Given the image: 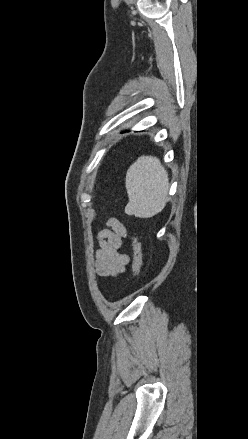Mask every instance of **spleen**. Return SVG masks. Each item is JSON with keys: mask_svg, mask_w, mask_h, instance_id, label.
Segmentation results:
<instances>
[{"mask_svg": "<svg viewBox=\"0 0 248 439\" xmlns=\"http://www.w3.org/2000/svg\"><path fill=\"white\" fill-rule=\"evenodd\" d=\"M126 189L129 198L126 211L137 217H153L166 205L168 173L157 157L141 156L127 171Z\"/></svg>", "mask_w": 248, "mask_h": 439, "instance_id": "obj_1", "label": "spleen"}]
</instances>
